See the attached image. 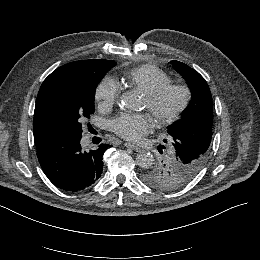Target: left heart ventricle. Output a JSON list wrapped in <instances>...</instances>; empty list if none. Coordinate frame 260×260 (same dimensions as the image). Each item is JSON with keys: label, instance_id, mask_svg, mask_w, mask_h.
<instances>
[{"label": "left heart ventricle", "instance_id": "b2bd125f", "mask_svg": "<svg viewBox=\"0 0 260 260\" xmlns=\"http://www.w3.org/2000/svg\"><path fill=\"white\" fill-rule=\"evenodd\" d=\"M180 101H181V94L177 91L171 92L164 99V101L161 103V105L159 106V109L156 112H150V115H151L153 121H155V119L158 116H162V115H165V114L171 112L173 109H175L179 105ZM143 102H144V108H147V101H146L145 97L143 99Z\"/></svg>", "mask_w": 260, "mask_h": 260}]
</instances>
